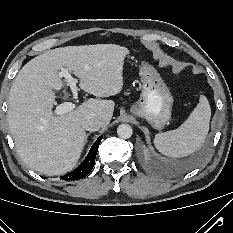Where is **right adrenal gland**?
I'll use <instances>...</instances> for the list:
<instances>
[{
    "label": "right adrenal gland",
    "mask_w": 233,
    "mask_h": 233,
    "mask_svg": "<svg viewBox=\"0 0 233 233\" xmlns=\"http://www.w3.org/2000/svg\"><path fill=\"white\" fill-rule=\"evenodd\" d=\"M89 135H90V134H87V135H86L85 141H84V145H85V143L87 142V138H88Z\"/></svg>",
    "instance_id": "2a0ac1e0"
}]
</instances>
